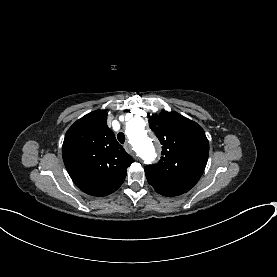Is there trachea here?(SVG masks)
Instances as JSON below:
<instances>
[{
	"mask_svg": "<svg viewBox=\"0 0 277 277\" xmlns=\"http://www.w3.org/2000/svg\"><path fill=\"white\" fill-rule=\"evenodd\" d=\"M117 139H118V141H119L121 144H124V142H125V135H124L122 132H120V133H118V135H117Z\"/></svg>",
	"mask_w": 277,
	"mask_h": 277,
	"instance_id": "3493384b",
	"label": "trachea"
}]
</instances>
